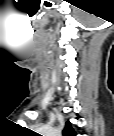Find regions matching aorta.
<instances>
[{
  "instance_id": "obj_1",
  "label": "aorta",
  "mask_w": 114,
  "mask_h": 136,
  "mask_svg": "<svg viewBox=\"0 0 114 136\" xmlns=\"http://www.w3.org/2000/svg\"><path fill=\"white\" fill-rule=\"evenodd\" d=\"M52 134H53V135H57V133H56V132H53Z\"/></svg>"
}]
</instances>
